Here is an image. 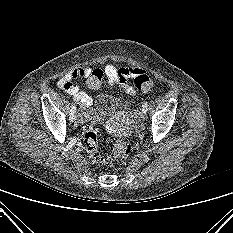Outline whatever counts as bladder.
Masks as SVG:
<instances>
[{
    "label": "bladder",
    "mask_w": 233,
    "mask_h": 233,
    "mask_svg": "<svg viewBox=\"0 0 233 233\" xmlns=\"http://www.w3.org/2000/svg\"><path fill=\"white\" fill-rule=\"evenodd\" d=\"M127 109V103L120 97L100 94L93 102L90 114L94 121L104 122Z\"/></svg>",
    "instance_id": "1"
}]
</instances>
